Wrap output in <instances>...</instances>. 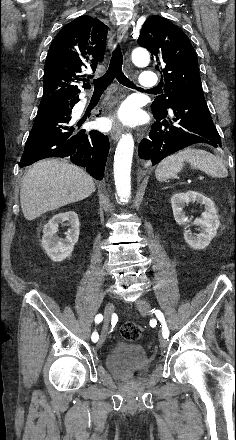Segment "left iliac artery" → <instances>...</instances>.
<instances>
[{"mask_svg":"<svg viewBox=\"0 0 236 440\" xmlns=\"http://www.w3.org/2000/svg\"><path fill=\"white\" fill-rule=\"evenodd\" d=\"M152 311H153V313H155L156 317L161 322L163 337L164 338H168L169 337V330H168V327H167V324H166V320H165V317H164L163 313L160 310H158V309H153Z\"/></svg>","mask_w":236,"mask_h":440,"instance_id":"obj_1","label":"left iliac artery"}]
</instances>
